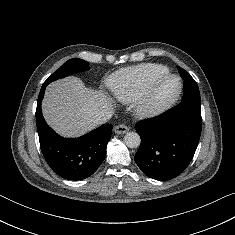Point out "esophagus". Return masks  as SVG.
Masks as SVG:
<instances>
[{
	"mask_svg": "<svg viewBox=\"0 0 235 235\" xmlns=\"http://www.w3.org/2000/svg\"><path fill=\"white\" fill-rule=\"evenodd\" d=\"M128 130H129V127L125 124H119V125L115 126V128H114V132L116 134H124V133L128 132Z\"/></svg>",
	"mask_w": 235,
	"mask_h": 235,
	"instance_id": "1",
	"label": "esophagus"
}]
</instances>
